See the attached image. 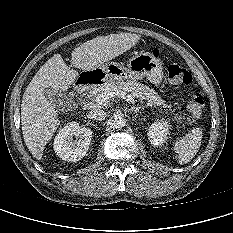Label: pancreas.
<instances>
[{
  "instance_id": "obj_1",
  "label": "pancreas",
  "mask_w": 233,
  "mask_h": 233,
  "mask_svg": "<svg viewBox=\"0 0 233 233\" xmlns=\"http://www.w3.org/2000/svg\"><path fill=\"white\" fill-rule=\"evenodd\" d=\"M113 89L127 91L132 97L137 98L140 102L146 100L148 106H163V108H168L166 109L167 111H172L171 105L164 104V100L153 89H150L148 86L135 80L121 82L107 81L98 86V88L91 90L88 93V97L95 101L97 95ZM182 119L183 117L178 116L177 114H175L173 118V120L177 121L178 123H181Z\"/></svg>"
}]
</instances>
